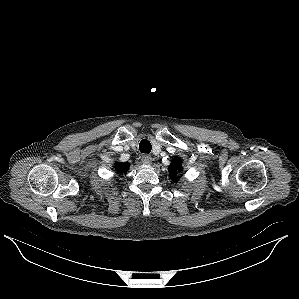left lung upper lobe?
Segmentation results:
<instances>
[{
	"instance_id": "obj_1",
	"label": "left lung upper lobe",
	"mask_w": 299,
	"mask_h": 299,
	"mask_svg": "<svg viewBox=\"0 0 299 299\" xmlns=\"http://www.w3.org/2000/svg\"><path fill=\"white\" fill-rule=\"evenodd\" d=\"M181 163V159L176 157L169 166V175L173 181H177V175L182 171Z\"/></svg>"
}]
</instances>
